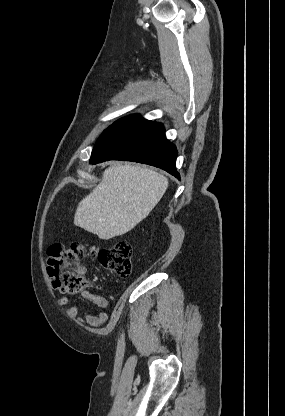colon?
<instances>
[{"instance_id":"1","label":"colon","mask_w":285,"mask_h":416,"mask_svg":"<svg viewBox=\"0 0 285 416\" xmlns=\"http://www.w3.org/2000/svg\"><path fill=\"white\" fill-rule=\"evenodd\" d=\"M47 272L54 288L67 294L78 293L86 287L85 268L81 259L86 248L81 243L64 246L53 244L48 250ZM92 256L105 269L122 278L132 271V247L127 241H118L108 248H94Z\"/></svg>"}]
</instances>
